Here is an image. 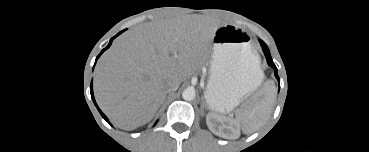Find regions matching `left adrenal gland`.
Returning a JSON list of instances; mask_svg holds the SVG:
<instances>
[{"instance_id":"a2214340","label":"left adrenal gland","mask_w":369,"mask_h":152,"mask_svg":"<svg viewBox=\"0 0 369 152\" xmlns=\"http://www.w3.org/2000/svg\"><path fill=\"white\" fill-rule=\"evenodd\" d=\"M204 105H206V104H205V102H204V100H203V98H202V103H201V109H202V110L204 109Z\"/></svg>"}]
</instances>
